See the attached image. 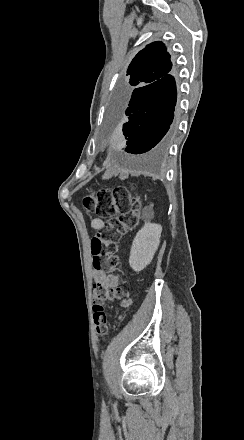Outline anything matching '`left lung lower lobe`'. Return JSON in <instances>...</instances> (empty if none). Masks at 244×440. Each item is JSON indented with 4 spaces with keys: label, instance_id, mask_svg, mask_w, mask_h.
Listing matches in <instances>:
<instances>
[{
    "label": "left lung lower lobe",
    "instance_id": "1",
    "mask_svg": "<svg viewBox=\"0 0 244 440\" xmlns=\"http://www.w3.org/2000/svg\"><path fill=\"white\" fill-rule=\"evenodd\" d=\"M176 98L175 79L169 73L151 84L119 95L115 114L123 120L128 153L141 154L153 148L160 151L167 146L173 134L171 124Z\"/></svg>",
    "mask_w": 244,
    "mask_h": 440
}]
</instances>
